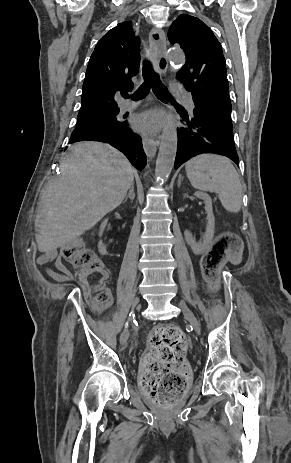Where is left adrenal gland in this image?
Returning <instances> with one entry per match:
<instances>
[{
  "label": "left adrenal gland",
  "mask_w": 291,
  "mask_h": 463,
  "mask_svg": "<svg viewBox=\"0 0 291 463\" xmlns=\"http://www.w3.org/2000/svg\"><path fill=\"white\" fill-rule=\"evenodd\" d=\"M182 179H183V178H182V176L180 175V176H179V179H178V183H177L178 187H180Z\"/></svg>",
  "instance_id": "1"
}]
</instances>
